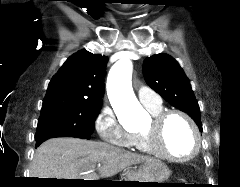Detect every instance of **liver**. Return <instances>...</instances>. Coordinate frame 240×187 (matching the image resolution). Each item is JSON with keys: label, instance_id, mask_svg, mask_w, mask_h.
I'll return each mask as SVG.
<instances>
[{"label": "liver", "instance_id": "liver-1", "mask_svg": "<svg viewBox=\"0 0 240 187\" xmlns=\"http://www.w3.org/2000/svg\"><path fill=\"white\" fill-rule=\"evenodd\" d=\"M151 158L133 154L103 142L58 137L44 142L35 152L30 178L82 179L111 177ZM99 166V176L90 173ZM81 173L85 175L81 176Z\"/></svg>", "mask_w": 240, "mask_h": 187}]
</instances>
